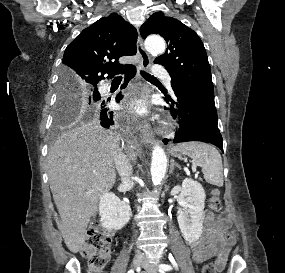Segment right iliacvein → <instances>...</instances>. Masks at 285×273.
Listing matches in <instances>:
<instances>
[{
	"label": "right iliac vein",
	"instance_id": "1",
	"mask_svg": "<svg viewBox=\"0 0 285 273\" xmlns=\"http://www.w3.org/2000/svg\"><path fill=\"white\" fill-rule=\"evenodd\" d=\"M143 258L144 257L142 254H140V253L136 254L133 258V262H132L133 266L138 267L142 263Z\"/></svg>",
	"mask_w": 285,
	"mask_h": 273
}]
</instances>
